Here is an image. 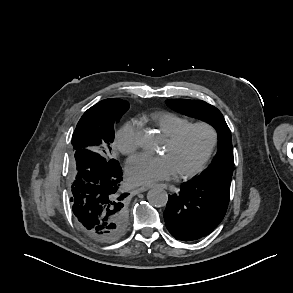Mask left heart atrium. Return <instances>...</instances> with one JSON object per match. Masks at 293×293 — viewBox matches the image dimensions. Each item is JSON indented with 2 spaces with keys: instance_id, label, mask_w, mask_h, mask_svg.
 <instances>
[{
  "instance_id": "obj_1",
  "label": "left heart atrium",
  "mask_w": 293,
  "mask_h": 293,
  "mask_svg": "<svg viewBox=\"0 0 293 293\" xmlns=\"http://www.w3.org/2000/svg\"><path fill=\"white\" fill-rule=\"evenodd\" d=\"M126 170L130 182L144 185L169 179L176 173L167 155L152 156L145 153L130 158Z\"/></svg>"
}]
</instances>
